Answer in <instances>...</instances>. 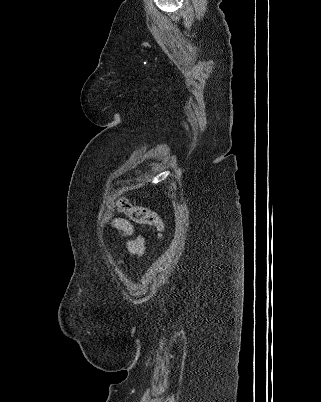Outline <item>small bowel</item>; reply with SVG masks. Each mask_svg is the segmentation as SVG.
Returning <instances> with one entry per match:
<instances>
[{
	"label": "small bowel",
	"mask_w": 321,
	"mask_h": 402,
	"mask_svg": "<svg viewBox=\"0 0 321 402\" xmlns=\"http://www.w3.org/2000/svg\"><path fill=\"white\" fill-rule=\"evenodd\" d=\"M113 227L117 229L123 236H131L133 234V226L130 222L123 218H116L113 221ZM145 243L142 237H136L127 241V249L135 255H142Z\"/></svg>",
	"instance_id": "c3829d8e"
}]
</instances>
